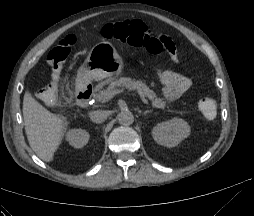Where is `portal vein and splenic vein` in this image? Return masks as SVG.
<instances>
[{"label": "portal vein and splenic vein", "instance_id": "18ae733b", "mask_svg": "<svg viewBox=\"0 0 254 216\" xmlns=\"http://www.w3.org/2000/svg\"><path fill=\"white\" fill-rule=\"evenodd\" d=\"M123 92L122 89H113V90H108L104 93L103 95V100L108 101L111 100L115 95ZM134 96L138 97L144 104L149 105V102L142 96L134 94Z\"/></svg>", "mask_w": 254, "mask_h": 216}]
</instances>
